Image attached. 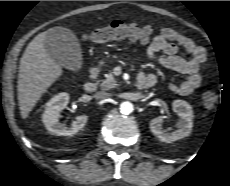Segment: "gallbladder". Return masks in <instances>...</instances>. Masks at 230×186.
<instances>
[{
  "mask_svg": "<svg viewBox=\"0 0 230 186\" xmlns=\"http://www.w3.org/2000/svg\"><path fill=\"white\" fill-rule=\"evenodd\" d=\"M45 46L50 56L61 66L76 71L82 64L81 48L74 33L64 27L48 30Z\"/></svg>",
  "mask_w": 230,
  "mask_h": 186,
  "instance_id": "gallbladder-1",
  "label": "gallbladder"
}]
</instances>
